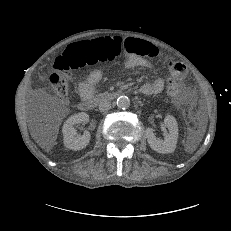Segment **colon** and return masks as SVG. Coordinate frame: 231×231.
<instances>
[{
  "instance_id": "1",
  "label": "colon",
  "mask_w": 231,
  "mask_h": 231,
  "mask_svg": "<svg viewBox=\"0 0 231 231\" xmlns=\"http://www.w3.org/2000/svg\"><path fill=\"white\" fill-rule=\"evenodd\" d=\"M123 49V40L120 37H106L89 44L73 45L65 54L53 62V69L49 76V83L59 97H66L71 80V71L86 64L88 60L109 61L119 57ZM170 95H176L178 85L174 78L167 83Z\"/></svg>"
}]
</instances>
